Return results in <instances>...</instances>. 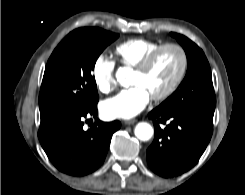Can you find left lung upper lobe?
Returning <instances> with one entry per match:
<instances>
[{"instance_id": "obj_1", "label": "left lung upper lobe", "mask_w": 245, "mask_h": 195, "mask_svg": "<svg viewBox=\"0 0 245 195\" xmlns=\"http://www.w3.org/2000/svg\"><path fill=\"white\" fill-rule=\"evenodd\" d=\"M170 35L184 48L188 69L180 88L159 107L214 111L216 98L210 65L204 52L187 37L173 32Z\"/></svg>"}]
</instances>
